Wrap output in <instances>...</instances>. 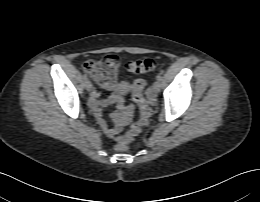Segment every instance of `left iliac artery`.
<instances>
[{
    "mask_svg": "<svg viewBox=\"0 0 260 202\" xmlns=\"http://www.w3.org/2000/svg\"><path fill=\"white\" fill-rule=\"evenodd\" d=\"M156 78H157L158 81H161L162 80L161 74H158Z\"/></svg>",
    "mask_w": 260,
    "mask_h": 202,
    "instance_id": "obj_1",
    "label": "left iliac artery"
}]
</instances>
